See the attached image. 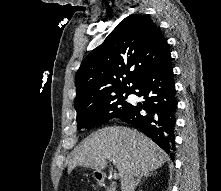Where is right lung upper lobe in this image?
<instances>
[{"label":"right lung upper lobe","instance_id":"right-lung-upper-lobe-1","mask_svg":"<svg viewBox=\"0 0 221 191\" xmlns=\"http://www.w3.org/2000/svg\"><path fill=\"white\" fill-rule=\"evenodd\" d=\"M168 52L166 39L148 15L126 17L82 61L75 77L76 112L133 90Z\"/></svg>","mask_w":221,"mask_h":191}]
</instances>
